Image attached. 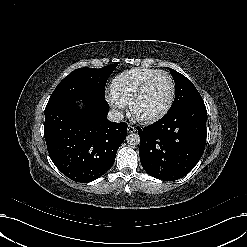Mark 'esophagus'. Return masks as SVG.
Instances as JSON below:
<instances>
[{
  "instance_id": "obj_1",
  "label": "esophagus",
  "mask_w": 247,
  "mask_h": 247,
  "mask_svg": "<svg viewBox=\"0 0 247 247\" xmlns=\"http://www.w3.org/2000/svg\"><path fill=\"white\" fill-rule=\"evenodd\" d=\"M127 131L128 133H134L136 131V128L132 125H128Z\"/></svg>"
}]
</instances>
